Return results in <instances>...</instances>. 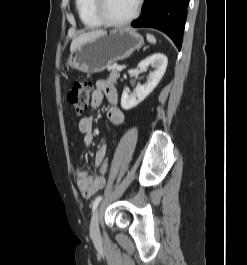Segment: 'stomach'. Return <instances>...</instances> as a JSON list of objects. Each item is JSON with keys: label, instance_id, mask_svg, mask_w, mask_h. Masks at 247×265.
Instances as JSON below:
<instances>
[{"label": "stomach", "instance_id": "obj_1", "mask_svg": "<svg viewBox=\"0 0 247 265\" xmlns=\"http://www.w3.org/2000/svg\"><path fill=\"white\" fill-rule=\"evenodd\" d=\"M144 44L134 29L116 28L79 44L71 51L66 63L84 73H99L112 63L128 58Z\"/></svg>", "mask_w": 247, "mask_h": 265}]
</instances>
